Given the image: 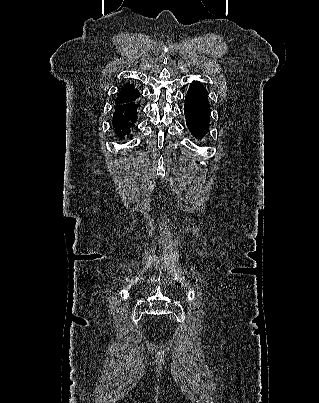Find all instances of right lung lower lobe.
<instances>
[{
  "mask_svg": "<svg viewBox=\"0 0 319 403\" xmlns=\"http://www.w3.org/2000/svg\"><path fill=\"white\" fill-rule=\"evenodd\" d=\"M139 96L140 93L138 92V94L124 102L116 103L117 105L115 106L112 125L114 132L121 139L130 133L138 119L137 114L140 107L138 100Z\"/></svg>",
  "mask_w": 319,
  "mask_h": 403,
  "instance_id": "1",
  "label": "right lung lower lobe"
}]
</instances>
